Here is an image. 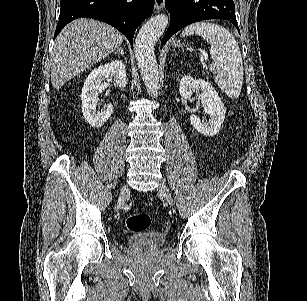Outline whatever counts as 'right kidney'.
I'll return each instance as SVG.
<instances>
[{
    "instance_id": "ca27d5eb",
    "label": "right kidney",
    "mask_w": 307,
    "mask_h": 301,
    "mask_svg": "<svg viewBox=\"0 0 307 301\" xmlns=\"http://www.w3.org/2000/svg\"><path fill=\"white\" fill-rule=\"evenodd\" d=\"M105 80H113L116 86H126L127 76L126 68L123 60H112L105 62L93 68L89 72L81 92V108L85 120L93 128H99L107 122L113 112V104H107L102 110H97V102L99 94L107 88L109 82Z\"/></svg>"
}]
</instances>
